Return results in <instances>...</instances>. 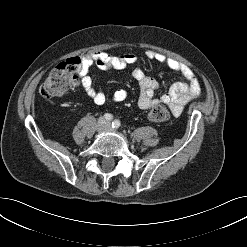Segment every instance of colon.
I'll return each mask as SVG.
<instances>
[{"label":"colon","mask_w":247,"mask_h":247,"mask_svg":"<svg viewBox=\"0 0 247 247\" xmlns=\"http://www.w3.org/2000/svg\"><path fill=\"white\" fill-rule=\"evenodd\" d=\"M79 58H70L52 69L46 80L40 87V95L49 100L63 96L78 84ZM169 109L163 105H155L148 113L147 119L153 123H159L169 118Z\"/></svg>","instance_id":"obj_1"}]
</instances>
